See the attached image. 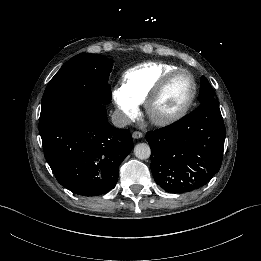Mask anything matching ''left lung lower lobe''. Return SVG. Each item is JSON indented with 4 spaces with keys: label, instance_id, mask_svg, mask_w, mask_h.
I'll return each mask as SVG.
<instances>
[{
    "label": "left lung lower lobe",
    "instance_id": "0a47b994",
    "mask_svg": "<svg viewBox=\"0 0 261 261\" xmlns=\"http://www.w3.org/2000/svg\"><path fill=\"white\" fill-rule=\"evenodd\" d=\"M155 182L169 193L205 186L219 171L225 126L218 101L207 100L181 120L147 132Z\"/></svg>",
    "mask_w": 261,
    "mask_h": 261
}]
</instances>
